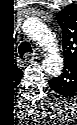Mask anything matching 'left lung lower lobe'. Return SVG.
Instances as JSON below:
<instances>
[{"mask_svg": "<svg viewBox=\"0 0 77 125\" xmlns=\"http://www.w3.org/2000/svg\"><path fill=\"white\" fill-rule=\"evenodd\" d=\"M49 84H50V86H51L54 90L60 91L59 82H57L56 79H52V80L49 82Z\"/></svg>", "mask_w": 77, "mask_h": 125, "instance_id": "1", "label": "left lung lower lobe"}]
</instances>
